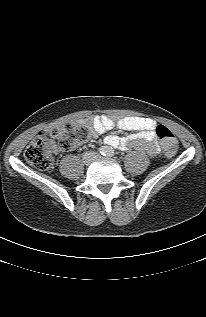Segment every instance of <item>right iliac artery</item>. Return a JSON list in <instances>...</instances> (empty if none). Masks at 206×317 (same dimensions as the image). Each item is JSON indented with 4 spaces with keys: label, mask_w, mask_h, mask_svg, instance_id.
Wrapping results in <instances>:
<instances>
[{
    "label": "right iliac artery",
    "mask_w": 206,
    "mask_h": 317,
    "mask_svg": "<svg viewBox=\"0 0 206 317\" xmlns=\"http://www.w3.org/2000/svg\"><path fill=\"white\" fill-rule=\"evenodd\" d=\"M98 151L103 156L107 154V148L105 146L100 147Z\"/></svg>",
    "instance_id": "obj_1"
}]
</instances>
